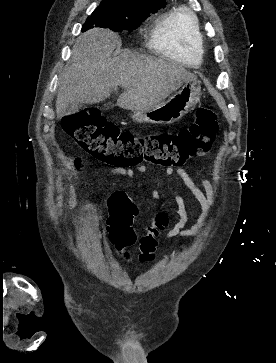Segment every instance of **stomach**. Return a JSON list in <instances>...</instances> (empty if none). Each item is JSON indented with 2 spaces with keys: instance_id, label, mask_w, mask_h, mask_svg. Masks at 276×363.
<instances>
[{
  "instance_id": "0dacf381",
  "label": "stomach",
  "mask_w": 276,
  "mask_h": 363,
  "mask_svg": "<svg viewBox=\"0 0 276 363\" xmlns=\"http://www.w3.org/2000/svg\"><path fill=\"white\" fill-rule=\"evenodd\" d=\"M200 95V82H187L167 101L149 109L134 110L131 117L140 123L171 124L193 110L200 100Z\"/></svg>"
}]
</instances>
